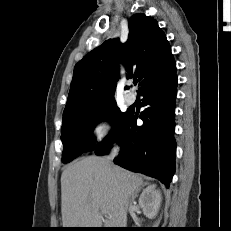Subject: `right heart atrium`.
Segmentation results:
<instances>
[{"instance_id":"d8ad5b80","label":"right heart atrium","mask_w":231,"mask_h":231,"mask_svg":"<svg viewBox=\"0 0 231 231\" xmlns=\"http://www.w3.org/2000/svg\"><path fill=\"white\" fill-rule=\"evenodd\" d=\"M115 130L114 123L109 116L98 117L91 126V135L96 141H102L109 133Z\"/></svg>"}]
</instances>
